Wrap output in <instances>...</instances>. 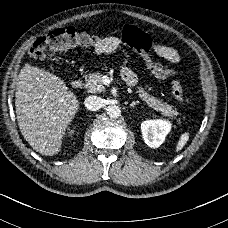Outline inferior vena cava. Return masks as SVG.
I'll list each match as a JSON object with an SVG mask.
<instances>
[{"label": "inferior vena cava", "mask_w": 228, "mask_h": 228, "mask_svg": "<svg viewBox=\"0 0 228 228\" xmlns=\"http://www.w3.org/2000/svg\"><path fill=\"white\" fill-rule=\"evenodd\" d=\"M85 107L90 111H97L103 105V99L99 96H88L84 100Z\"/></svg>", "instance_id": "inferior-vena-cava-1"}]
</instances>
